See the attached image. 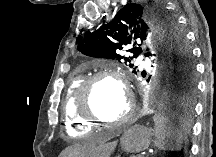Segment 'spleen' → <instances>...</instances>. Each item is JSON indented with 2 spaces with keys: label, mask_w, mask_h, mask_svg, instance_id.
<instances>
[{
  "label": "spleen",
  "mask_w": 216,
  "mask_h": 157,
  "mask_svg": "<svg viewBox=\"0 0 216 157\" xmlns=\"http://www.w3.org/2000/svg\"><path fill=\"white\" fill-rule=\"evenodd\" d=\"M154 145L163 151H179L182 147L183 135L177 131L172 122L165 116L155 115Z\"/></svg>",
  "instance_id": "3e777b00"
}]
</instances>
